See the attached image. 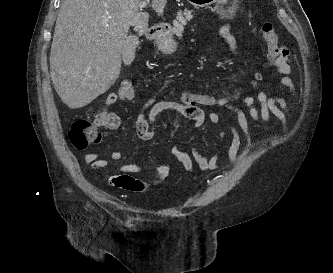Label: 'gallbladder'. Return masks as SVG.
Here are the masks:
<instances>
[{"label": "gallbladder", "instance_id": "1", "mask_svg": "<svg viewBox=\"0 0 333 273\" xmlns=\"http://www.w3.org/2000/svg\"><path fill=\"white\" fill-rule=\"evenodd\" d=\"M138 43L136 36H130L123 44L122 56L123 62L126 66L130 65L135 58V48Z\"/></svg>", "mask_w": 333, "mask_h": 273}]
</instances>
